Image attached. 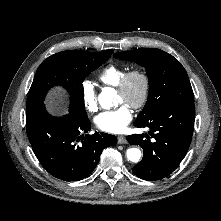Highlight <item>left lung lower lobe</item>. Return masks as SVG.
I'll use <instances>...</instances> for the list:
<instances>
[{"mask_svg":"<svg viewBox=\"0 0 221 221\" xmlns=\"http://www.w3.org/2000/svg\"><path fill=\"white\" fill-rule=\"evenodd\" d=\"M195 121L194 103H181L162 108L148 119L135 122L136 127H148V134L127 137L130 144L139 145L143 158L132 170L148 181L170 175L185 157L191 143ZM149 136L154 138L150 140Z\"/></svg>","mask_w":221,"mask_h":221,"instance_id":"0a47b994","label":"left lung lower lobe"}]
</instances>
